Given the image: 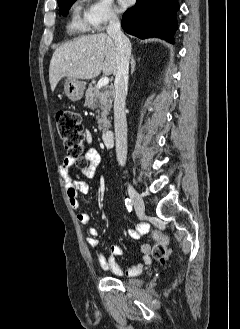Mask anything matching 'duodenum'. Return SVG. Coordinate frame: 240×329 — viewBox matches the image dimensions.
Returning a JSON list of instances; mask_svg holds the SVG:
<instances>
[{
  "mask_svg": "<svg viewBox=\"0 0 240 329\" xmlns=\"http://www.w3.org/2000/svg\"><path fill=\"white\" fill-rule=\"evenodd\" d=\"M102 141L107 147H112L114 144V132L113 130H107L102 134Z\"/></svg>",
  "mask_w": 240,
  "mask_h": 329,
  "instance_id": "obj_1",
  "label": "duodenum"
}]
</instances>
